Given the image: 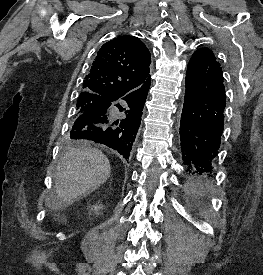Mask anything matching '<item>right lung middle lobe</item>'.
I'll use <instances>...</instances> for the list:
<instances>
[{"label":"right lung middle lobe","mask_w":263,"mask_h":275,"mask_svg":"<svg viewBox=\"0 0 263 275\" xmlns=\"http://www.w3.org/2000/svg\"><path fill=\"white\" fill-rule=\"evenodd\" d=\"M77 115L85 112L97 111L106 108V100L94 94L80 95L77 101ZM67 146H79V143L68 140Z\"/></svg>","instance_id":"right-lung-middle-lobe-1"}]
</instances>
